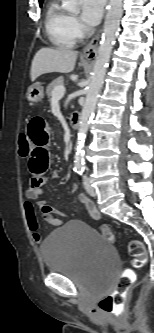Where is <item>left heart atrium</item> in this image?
I'll return each instance as SVG.
<instances>
[{"mask_svg": "<svg viewBox=\"0 0 154 333\" xmlns=\"http://www.w3.org/2000/svg\"><path fill=\"white\" fill-rule=\"evenodd\" d=\"M106 0H82V20L89 26L100 21Z\"/></svg>", "mask_w": 154, "mask_h": 333, "instance_id": "39dd6f15", "label": "left heart atrium"}]
</instances>
